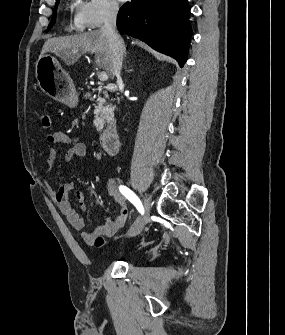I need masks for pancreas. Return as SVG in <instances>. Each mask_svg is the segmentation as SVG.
<instances>
[{
	"mask_svg": "<svg viewBox=\"0 0 285 335\" xmlns=\"http://www.w3.org/2000/svg\"><path fill=\"white\" fill-rule=\"evenodd\" d=\"M97 102L98 106L93 114L94 117L92 120L93 125H106L107 122L108 124H110L111 118H113L114 114V108L112 104L108 106L104 98H99Z\"/></svg>",
	"mask_w": 285,
	"mask_h": 335,
	"instance_id": "1",
	"label": "pancreas"
}]
</instances>
